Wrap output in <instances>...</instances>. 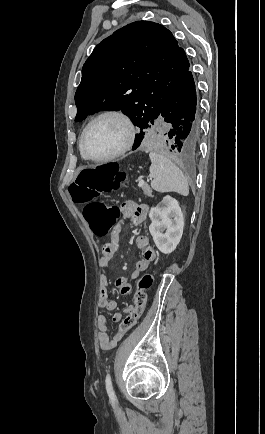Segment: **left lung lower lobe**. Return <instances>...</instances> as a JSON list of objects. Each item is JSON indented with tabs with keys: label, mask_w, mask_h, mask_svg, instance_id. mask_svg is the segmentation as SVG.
Here are the masks:
<instances>
[{
	"label": "left lung lower lobe",
	"mask_w": 265,
	"mask_h": 434,
	"mask_svg": "<svg viewBox=\"0 0 265 434\" xmlns=\"http://www.w3.org/2000/svg\"><path fill=\"white\" fill-rule=\"evenodd\" d=\"M169 124L168 146L177 153H196L200 138V117L197 107L195 82L190 70L186 72L174 92L164 103L158 116ZM137 134L132 150L137 149L144 136Z\"/></svg>",
	"instance_id": "0a47b994"
}]
</instances>
